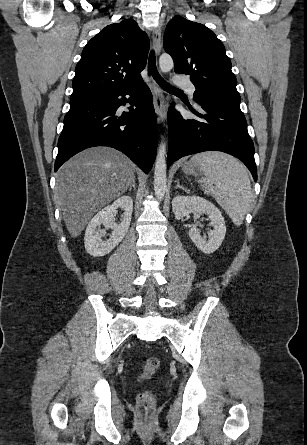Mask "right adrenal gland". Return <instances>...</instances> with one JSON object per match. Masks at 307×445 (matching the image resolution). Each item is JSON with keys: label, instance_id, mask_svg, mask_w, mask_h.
Masks as SVG:
<instances>
[{"label": "right adrenal gland", "instance_id": "right-adrenal-gland-1", "mask_svg": "<svg viewBox=\"0 0 307 445\" xmlns=\"http://www.w3.org/2000/svg\"><path fill=\"white\" fill-rule=\"evenodd\" d=\"M135 182H136V180H135V176H134V178H133V180H132L128 190H131L132 186H133L134 190H136Z\"/></svg>", "mask_w": 307, "mask_h": 445}]
</instances>
